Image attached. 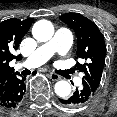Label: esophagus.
Returning a JSON list of instances; mask_svg holds the SVG:
<instances>
[{
	"mask_svg": "<svg viewBox=\"0 0 117 117\" xmlns=\"http://www.w3.org/2000/svg\"><path fill=\"white\" fill-rule=\"evenodd\" d=\"M49 77H50L53 81H57V80L60 79V76H59L58 74H56V73H53V72H51V73L49 74Z\"/></svg>",
	"mask_w": 117,
	"mask_h": 117,
	"instance_id": "34e87169",
	"label": "esophagus"
}]
</instances>
